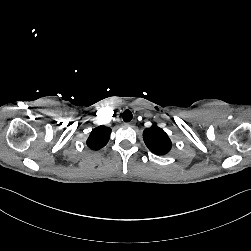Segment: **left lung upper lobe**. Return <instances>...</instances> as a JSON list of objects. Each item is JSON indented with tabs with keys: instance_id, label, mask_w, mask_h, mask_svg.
I'll return each mask as SVG.
<instances>
[{
	"instance_id": "left-lung-upper-lobe-1",
	"label": "left lung upper lobe",
	"mask_w": 251,
	"mask_h": 251,
	"mask_svg": "<svg viewBox=\"0 0 251 251\" xmlns=\"http://www.w3.org/2000/svg\"><path fill=\"white\" fill-rule=\"evenodd\" d=\"M143 139L148 149L158 155L166 154L172 146L168 135L156 125L144 130Z\"/></svg>"
}]
</instances>
